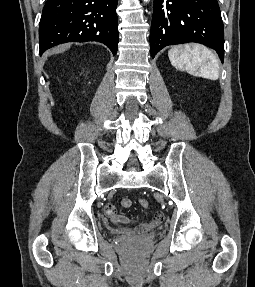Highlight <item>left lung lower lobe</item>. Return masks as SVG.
Segmentation results:
<instances>
[{
	"instance_id": "left-lung-lower-lobe-1",
	"label": "left lung lower lobe",
	"mask_w": 255,
	"mask_h": 287,
	"mask_svg": "<svg viewBox=\"0 0 255 287\" xmlns=\"http://www.w3.org/2000/svg\"><path fill=\"white\" fill-rule=\"evenodd\" d=\"M196 42L224 60V27L217 0H154L150 32L152 58L165 46Z\"/></svg>"
}]
</instances>
